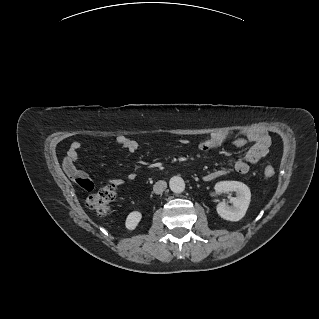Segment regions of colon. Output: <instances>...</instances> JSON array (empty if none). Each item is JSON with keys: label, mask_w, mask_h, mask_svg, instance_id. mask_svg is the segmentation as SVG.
Listing matches in <instances>:
<instances>
[{"label": "colon", "mask_w": 319, "mask_h": 319, "mask_svg": "<svg viewBox=\"0 0 319 319\" xmlns=\"http://www.w3.org/2000/svg\"><path fill=\"white\" fill-rule=\"evenodd\" d=\"M263 173L265 177L271 178L275 175V169L272 166H266ZM79 184L88 191L94 189V184L90 180L80 179ZM115 197L116 190L112 186H103L87 197L86 205L98 215H107L111 210Z\"/></svg>", "instance_id": "1"}]
</instances>
